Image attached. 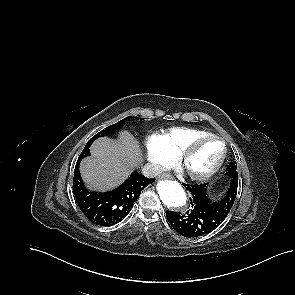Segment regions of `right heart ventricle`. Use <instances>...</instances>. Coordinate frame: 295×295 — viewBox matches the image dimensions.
Returning <instances> with one entry per match:
<instances>
[{
	"mask_svg": "<svg viewBox=\"0 0 295 295\" xmlns=\"http://www.w3.org/2000/svg\"><path fill=\"white\" fill-rule=\"evenodd\" d=\"M208 134L210 133L201 129L174 127L158 134V136L163 147L176 158L192 140Z\"/></svg>",
	"mask_w": 295,
	"mask_h": 295,
	"instance_id": "obj_1",
	"label": "right heart ventricle"
}]
</instances>
